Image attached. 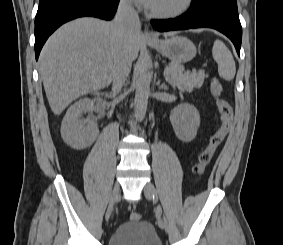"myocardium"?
<instances>
[{
  "label": "myocardium",
  "instance_id": "myocardium-1",
  "mask_svg": "<svg viewBox=\"0 0 283 245\" xmlns=\"http://www.w3.org/2000/svg\"><path fill=\"white\" fill-rule=\"evenodd\" d=\"M194 0H182V2L175 8L170 10H156L153 8L148 9V13L156 18H176L186 13L193 5Z\"/></svg>",
  "mask_w": 283,
  "mask_h": 245
}]
</instances>
